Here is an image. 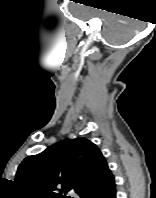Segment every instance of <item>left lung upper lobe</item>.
I'll return each instance as SVG.
<instances>
[{
    "mask_svg": "<svg viewBox=\"0 0 156 198\" xmlns=\"http://www.w3.org/2000/svg\"><path fill=\"white\" fill-rule=\"evenodd\" d=\"M109 171L100 149L86 138L63 140L19 165L15 181L27 198H67L57 191L74 190L79 196Z\"/></svg>",
    "mask_w": 156,
    "mask_h": 198,
    "instance_id": "obj_1",
    "label": "left lung upper lobe"
}]
</instances>
